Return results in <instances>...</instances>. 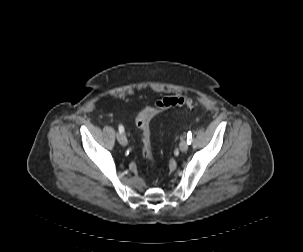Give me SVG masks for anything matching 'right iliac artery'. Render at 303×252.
<instances>
[{
    "label": "right iliac artery",
    "mask_w": 303,
    "mask_h": 252,
    "mask_svg": "<svg viewBox=\"0 0 303 252\" xmlns=\"http://www.w3.org/2000/svg\"><path fill=\"white\" fill-rule=\"evenodd\" d=\"M119 132L123 133L124 132V127L122 125H119Z\"/></svg>",
    "instance_id": "82829eb1"
}]
</instances>
